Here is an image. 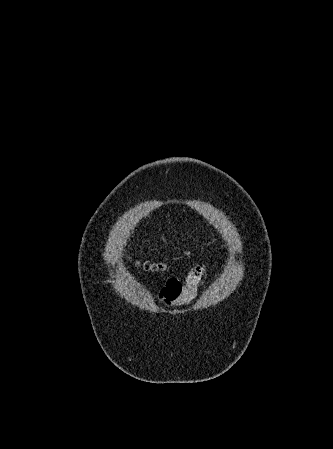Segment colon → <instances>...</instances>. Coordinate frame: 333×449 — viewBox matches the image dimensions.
<instances>
[{
    "instance_id": "obj_1",
    "label": "colon",
    "mask_w": 333,
    "mask_h": 449,
    "mask_svg": "<svg viewBox=\"0 0 333 449\" xmlns=\"http://www.w3.org/2000/svg\"><path fill=\"white\" fill-rule=\"evenodd\" d=\"M143 267L148 271H159L163 268V265L161 263H152L147 261L143 263Z\"/></svg>"
}]
</instances>
